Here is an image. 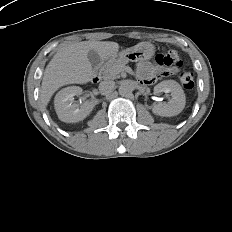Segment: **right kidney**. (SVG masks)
<instances>
[{"mask_svg":"<svg viewBox=\"0 0 232 232\" xmlns=\"http://www.w3.org/2000/svg\"><path fill=\"white\" fill-rule=\"evenodd\" d=\"M82 94V88L69 86L61 89L55 96L54 106L58 118L66 123H76L85 119L93 110L92 101L84 102L80 108L76 103H72L73 96Z\"/></svg>","mask_w":232,"mask_h":232,"instance_id":"right-kidney-1","label":"right kidney"}]
</instances>
